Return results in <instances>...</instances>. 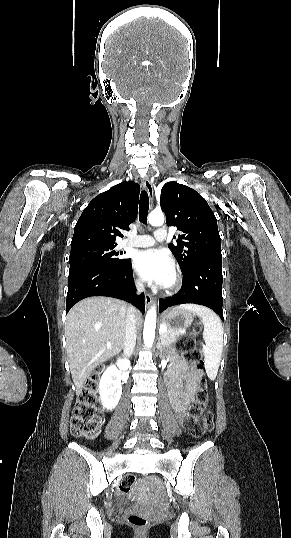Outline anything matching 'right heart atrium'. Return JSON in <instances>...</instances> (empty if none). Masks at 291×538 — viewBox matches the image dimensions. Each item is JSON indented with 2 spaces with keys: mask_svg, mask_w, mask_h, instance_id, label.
<instances>
[{
  "mask_svg": "<svg viewBox=\"0 0 291 538\" xmlns=\"http://www.w3.org/2000/svg\"><path fill=\"white\" fill-rule=\"evenodd\" d=\"M136 284H137V286H139V287L141 286V283H140V281H138V280L136 281Z\"/></svg>",
  "mask_w": 291,
  "mask_h": 538,
  "instance_id": "1",
  "label": "right heart atrium"
}]
</instances>
